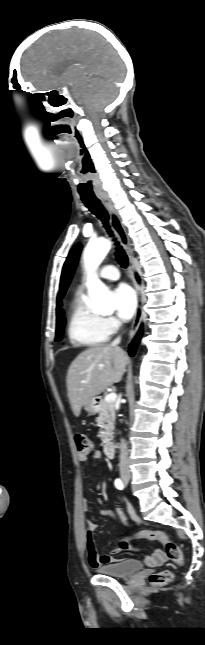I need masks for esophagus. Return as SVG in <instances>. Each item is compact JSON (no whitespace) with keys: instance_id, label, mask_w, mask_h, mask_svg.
<instances>
[{"instance_id":"esophagus-1","label":"esophagus","mask_w":205,"mask_h":645,"mask_svg":"<svg viewBox=\"0 0 205 645\" xmlns=\"http://www.w3.org/2000/svg\"><path fill=\"white\" fill-rule=\"evenodd\" d=\"M98 198L102 202V204L105 206V208L108 210L110 217H111V222L112 226L114 228V231L116 235L118 236L121 245L124 247V249L127 252L128 258H129V267H128V272L129 276L133 281L135 292H136V297H137V308L134 316V320L130 329L129 337L132 339L135 334L137 333L141 319H142V292L141 288L139 287L138 283L136 282L135 279V268H134V262H133V251L131 248V242L128 237V234L126 232L125 227L123 226L121 219L115 210L110 198L106 194H99Z\"/></svg>"}]
</instances>
